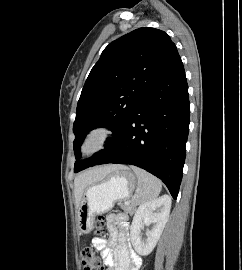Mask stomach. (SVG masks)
I'll list each match as a JSON object with an SVG mask.
<instances>
[{
  "instance_id": "stomach-1",
  "label": "stomach",
  "mask_w": 242,
  "mask_h": 270,
  "mask_svg": "<svg viewBox=\"0 0 242 270\" xmlns=\"http://www.w3.org/2000/svg\"><path fill=\"white\" fill-rule=\"evenodd\" d=\"M135 176L122 166L104 180L89 185L82 196L77 211V228L80 234H88L95 216L109 211L116 201L127 199L134 190Z\"/></svg>"
}]
</instances>
